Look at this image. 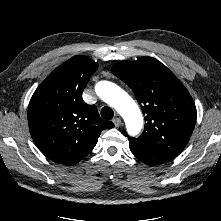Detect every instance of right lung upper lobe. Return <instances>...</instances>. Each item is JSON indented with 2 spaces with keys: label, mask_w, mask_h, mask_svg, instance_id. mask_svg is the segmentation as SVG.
<instances>
[{
  "label": "right lung upper lobe",
  "mask_w": 221,
  "mask_h": 221,
  "mask_svg": "<svg viewBox=\"0 0 221 221\" xmlns=\"http://www.w3.org/2000/svg\"><path fill=\"white\" fill-rule=\"evenodd\" d=\"M98 65L75 56L57 67L36 89L28 106L31 136L50 160L73 165L95 147L102 130L114 124L87 105L82 92Z\"/></svg>",
  "instance_id": "cb5924a9"
}]
</instances>
